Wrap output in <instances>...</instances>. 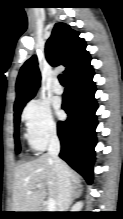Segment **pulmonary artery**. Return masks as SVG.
I'll list each match as a JSON object with an SVG mask.
<instances>
[{
	"label": "pulmonary artery",
	"instance_id": "obj_1",
	"mask_svg": "<svg viewBox=\"0 0 123 219\" xmlns=\"http://www.w3.org/2000/svg\"><path fill=\"white\" fill-rule=\"evenodd\" d=\"M52 91L55 93V94H62L63 93V88L62 86L59 84L58 81H56L53 85V88H52Z\"/></svg>",
	"mask_w": 123,
	"mask_h": 219
}]
</instances>
